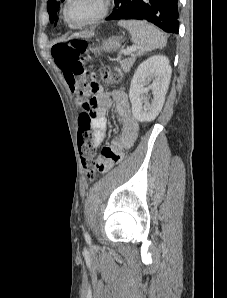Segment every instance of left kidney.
<instances>
[{"instance_id": "left-kidney-1", "label": "left kidney", "mask_w": 227, "mask_h": 298, "mask_svg": "<svg viewBox=\"0 0 227 298\" xmlns=\"http://www.w3.org/2000/svg\"><path fill=\"white\" fill-rule=\"evenodd\" d=\"M172 69L169 59L155 55L142 62L131 81L129 98L133 116L139 122L154 120L161 111L167 93ZM151 80L153 83L150 84ZM151 91L153 99L146 96Z\"/></svg>"}]
</instances>
